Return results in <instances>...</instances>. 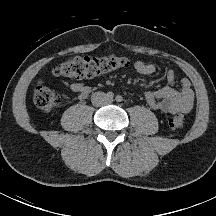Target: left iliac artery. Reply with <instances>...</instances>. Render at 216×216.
I'll list each match as a JSON object with an SVG mask.
<instances>
[{
  "instance_id": "left-iliac-artery-1",
  "label": "left iliac artery",
  "mask_w": 216,
  "mask_h": 216,
  "mask_svg": "<svg viewBox=\"0 0 216 216\" xmlns=\"http://www.w3.org/2000/svg\"><path fill=\"white\" fill-rule=\"evenodd\" d=\"M115 99L117 102H121L123 100L122 96H120V95L116 96Z\"/></svg>"
}]
</instances>
